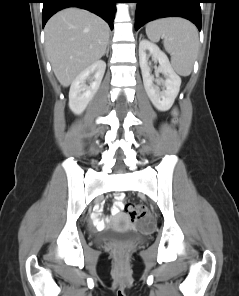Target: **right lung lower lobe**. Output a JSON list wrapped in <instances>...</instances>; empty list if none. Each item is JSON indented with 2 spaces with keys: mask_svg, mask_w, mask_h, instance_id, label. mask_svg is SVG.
I'll return each instance as SVG.
<instances>
[{
  "mask_svg": "<svg viewBox=\"0 0 239 296\" xmlns=\"http://www.w3.org/2000/svg\"><path fill=\"white\" fill-rule=\"evenodd\" d=\"M42 24L45 26L48 19L57 11L67 7H80L89 10L109 23L113 29V20L116 11L115 3L119 0H42Z\"/></svg>",
  "mask_w": 239,
  "mask_h": 296,
  "instance_id": "right-lung-lower-lobe-1",
  "label": "right lung lower lobe"
}]
</instances>
